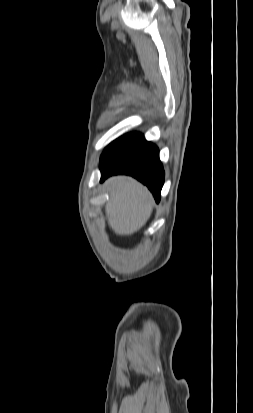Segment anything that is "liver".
Masks as SVG:
<instances>
[{
  "instance_id": "liver-1",
  "label": "liver",
  "mask_w": 253,
  "mask_h": 413,
  "mask_svg": "<svg viewBox=\"0 0 253 413\" xmlns=\"http://www.w3.org/2000/svg\"><path fill=\"white\" fill-rule=\"evenodd\" d=\"M109 193L105 212L110 228L118 235H131L150 218L153 200L148 189L128 176H114L105 182Z\"/></svg>"
}]
</instances>
